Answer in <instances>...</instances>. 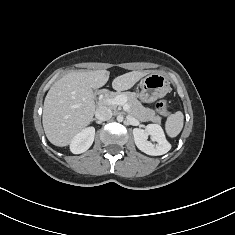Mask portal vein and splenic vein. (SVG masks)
Wrapping results in <instances>:
<instances>
[{
    "label": "portal vein and splenic vein",
    "instance_id": "obj_1",
    "mask_svg": "<svg viewBox=\"0 0 235 235\" xmlns=\"http://www.w3.org/2000/svg\"><path fill=\"white\" fill-rule=\"evenodd\" d=\"M104 101L110 105H120L123 106L124 111L130 112V107L127 103V99L123 95H118L115 98H105Z\"/></svg>",
    "mask_w": 235,
    "mask_h": 235
}]
</instances>
